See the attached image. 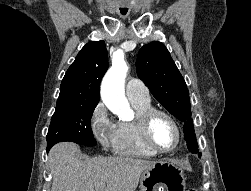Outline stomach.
<instances>
[{
    "label": "stomach",
    "mask_w": 251,
    "mask_h": 191,
    "mask_svg": "<svg viewBox=\"0 0 251 191\" xmlns=\"http://www.w3.org/2000/svg\"><path fill=\"white\" fill-rule=\"evenodd\" d=\"M140 191H185L182 167L169 161H155L152 167L143 171Z\"/></svg>",
    "instance_id": "0dacf381"
}]
</instances>
